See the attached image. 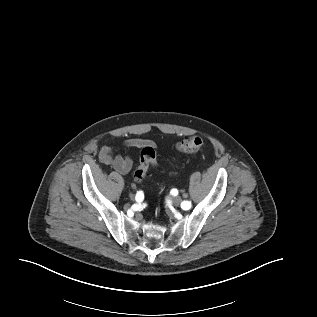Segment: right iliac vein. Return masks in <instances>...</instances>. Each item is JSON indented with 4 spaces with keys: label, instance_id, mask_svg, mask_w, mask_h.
<instances>
[{
    "label": "right iliac vein",
    "instance_id": "right-iliac-vein-1",
    "mask_svg": "<svg viewBox=\"0 0 317 317\" xmlns=\"http://www.w3.org/2000/svg\"><path fill=\"white\" fill-rule=\"evenodd\" d=\"M130 198H131V199H134V196L131 194V195H130Z\"/></svg>",
    "mask_w": 317,
    "mask_h": 317
}]
</instances>
